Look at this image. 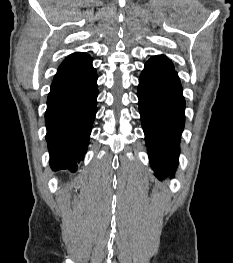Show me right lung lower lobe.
Listing matches in <instances>:
<instances>
[{
  "instance_id": "obj_1",
  "label": "right lung lower lobe",
  "mask_w": 233,
  "mask_h": 263,
  "mask_svg": "<svg viewBox=\"0 0 233 263\" xmlns=\"http://www.w3.org/2000/svg\"><path fill=\"white\" fill-rule=\"evenodd\" d=\"M97 95V74L92 64L54 76L45 112L46 141L54 171L75 172L83 160L95 119Z\"/></svg>"
}]
</instances>
